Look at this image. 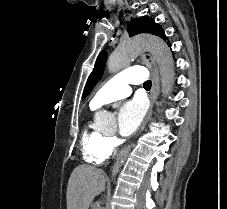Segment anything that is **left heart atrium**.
Here are the masks:
<instances>
[{
	"label": "left heart atrium",
	"mask_w": 227,
	"mask_h": 209,
	"mask_svg": "<svg viewBox=\"0 0 227 209\" xmlns=\"http://www.w3.org/2000/svg\"><path fill=\"white\" fill-rule=\"evenodd\" d=\"M145 113V106L139 99L125 101L119 110V132L121 135L131 136L138 128Z\"/></svg>",
	"instance_id": "obj_1"
}]
</instances>
